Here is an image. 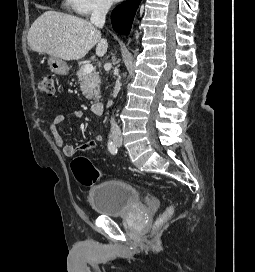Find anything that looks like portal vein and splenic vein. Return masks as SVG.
Listing matches in <instances>:
<instances>
[{
  "mask_svg": "<svg viewBox=\"0 0 255 272\" xmlns=\"http://www.w3.org/2000/svg\"><path fill=\"white\" fill-rule=\"evenodd\" d=\"M83 70L85 73H91L94 70V68L91 64H85Z\"/></svg>",
  "mask_w": 255,
  "mask_h": 272,
  "instance_id": "1",
  "label": "portal vein and splenic vein"
}]
</instances>
